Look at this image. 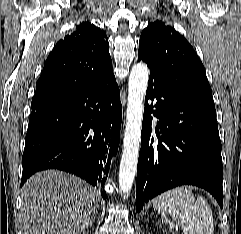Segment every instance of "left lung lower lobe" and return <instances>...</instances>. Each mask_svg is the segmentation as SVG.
I'll list each match as a JSON object with an SVG mask.
<instances>
[{
  "label": "left lung lower lobe",
  "instance_id": "left-lung-lower-lobe-1",
  "mask_svg": "<svg viewBox=\"0 0 241 234\" xmlns=\"http://www.w3.org/2000/svg\"><path fill=\"white\" fill-rule=\"evenodd\" d=\"M151 114L158 118L155 129ZM222 180L212 94L150 68L137 168V211L149 199L184 184L206 189L223 208Z\"/></svg>",
  "mask_w": 241,
  "mask_h": 234
}]
</instances>
